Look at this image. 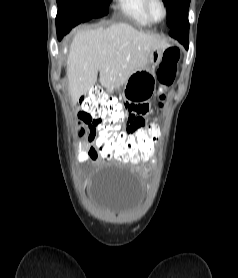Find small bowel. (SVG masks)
<instances>
[{
    "instance_id": "small-bowel-1",
    "label": "small bowel",
    "mask_w": 238,
    "mask_h": 278,
    "mask_svg": "<svg viewBox=\"0 0 238 278\" xmlns=\"http://www.w3.org/2000/svg\"><path fill=\"white\" fill-rule=\"evenodd\" d=\"M149 107L145 103H135L131 104V108L128 113V117L126 122L123 124L122 131H127V136L120 137H134L135 130H157V129H147V121H148ZM96 126H90L89 134L87 137L88 148L86 150H82L79 153V158L82 161H87L88 159L97 160V146L95 145L96 139ZM155 135H147V137H151ZM109 160V159H105ZM129 163H137V162H129Z\"/></svg>"
}]
</instances>
